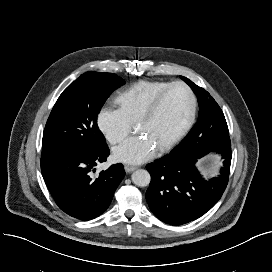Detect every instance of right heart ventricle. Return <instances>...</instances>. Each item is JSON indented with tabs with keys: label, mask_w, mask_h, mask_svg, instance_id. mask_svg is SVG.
<instances>
[{
	"label": "right heart ventricle",
	"mask_w": 272,
	"mask_h": 272,
	"mask_svg": "<svg viewBox=\"0 0 272 272\" xmlns=\"http://www.w3.org/2000/svg\"><path fill=\"white\" fill-rule=\"evenodd\" d=\"M168 84L170 83L157 80L137 81L117 95L116 103L125 116L135 123L152 99Z\"/></svg>",
	"instance_id": "right-heart-ventricle-1"
}]
</instances>
